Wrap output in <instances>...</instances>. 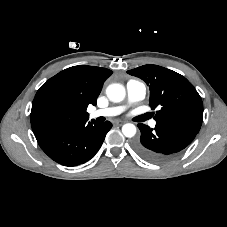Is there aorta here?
<instances>
[{
  "label": "aorta",
  "mask_w": 227,
  "mask_h": 227,
  "mask_svg": "<svg viewBox=\"0 0 227 227\" xmlns=\"http://www.w3.org/2000/svg\"><path fill=\"white\" fill-rule=\"evenodd\" d=\"M106 95L110 101L118 103L124 100L126 91L123 85L118 83L110 84L106 89ZM122 133L125 137L131 138L136 134V126L131 123L122 126Z\"/></svg>",
  "instance_id": "aorta-1"
}]
</instances>
